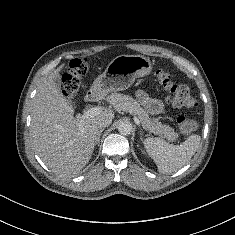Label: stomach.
Returning a JSON list of instances; mask_svg holds the SVG:
<instances>
[{
    "instance_id": "obj_1",
    "label": "stomach",
    "mask_w": 235,
    "mask_h": 235,
    "mask_svg": "<svg viewBox=\"0 0 235 235\" xmlns=\"http://www.w3.org/2000/svg\"><path fill=\"white\" fill-rule=\"evenodd\" d=\"M152 69L149 58L141 55H119L100 74L90 89L95 96L129 88L136 78L149 75Z\"/></svg>"
}]
</instances>
